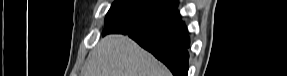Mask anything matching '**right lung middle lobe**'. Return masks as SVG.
Wrapping results in <instances>:
<instances>
[{"mask_svg": "<svg viewBox=\"0 0 287 76\" xmlns=\"http://www.w3.org/2000/svg\"><path fill=\"white\" fill-rule=\"evenodd\" d=\"M175 7V0H116L106 15L102 35L143 31Z\"/></svg>", "mask_w": 287, "mask_h": 76, "instance_id": "dd1d6c3e", "label": "right lung middle lobe"}]
</instances>
